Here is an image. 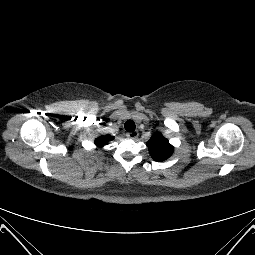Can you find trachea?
<instances>
[{
	"label": "trachea",
	"instance_id": "1",
	"mask_svg": "<svg viewBox=\"0 0 255 255\" xmlns=\"http://www.w3.org/2000/svg\"><path fill=\"white\" fill-rule=\"evenodd\" d=\"M124 127L128 132H134L136 128L135 123L132 120L126 121Z\"/></svg>",
	"mask_w": 255,
	"mask_h": 255
}]
</instances>
